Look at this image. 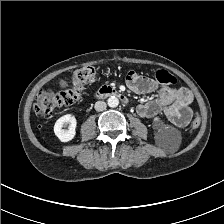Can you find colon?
Listing matches in <instances>:
<instances>
[{"label":"colon","instance_id":"colon-1","mask_svg":"<svg viewBox=\"0 0 224 224\" xmlns=\"http://www.w3.org/2000/svg\"><path fill=\"white\" fill-rule=\"evenodd\" d=\"M156 79L163 84H175L176 78L165 69L155 72ZM97 77L96 69L91 65H85L74 71L71 77V86L61 91L50 89L41 90L36 98L35 111L39 116H49L57 108L75 103L81 96L84 88L93 82ZM201 123L199 114L192 120V128H197Z\"/></svg>","mask_w":224,"mask_h":224}]
</instances>
